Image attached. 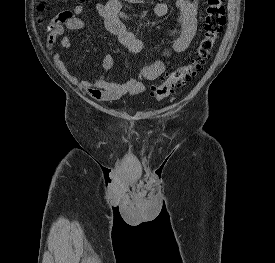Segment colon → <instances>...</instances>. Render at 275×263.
Returning a JSON list of instances; mask_svg holds the SVG:
<instances>
[{
    "mask_svg": "<svg viewBox=\"0 0 275 263\" xmlns=\"http://www.w3.org/2000/svg\"><path fill=\"white\" fill-rule=\"evenodd\" d=\"M226 24L223 0L205 1V18L203 35L195 52L179 68L168 71L162 79L151 88V96L163 100L175 93V90L190 82L212 57L216 43Z\"/></svg>",
    "mask_w": 275,
    "mask_h": 263,
    "instance_id": "colon-1",
    "label": "colon"
}]
</instances>
